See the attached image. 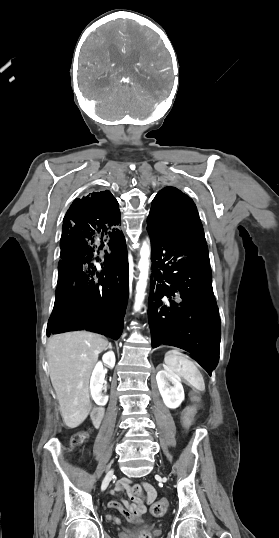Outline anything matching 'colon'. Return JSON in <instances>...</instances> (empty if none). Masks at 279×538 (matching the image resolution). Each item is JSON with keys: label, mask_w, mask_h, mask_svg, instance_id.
Masks as SVG:
<instances>
[{"label": "colon", "mask_w": 279, "mask_h": 538, "mask_svg": "<svg viewBox=\"0 0 279 538\" xmlns=\"http://www.w3.org/2000/svg\"><path fill=\"white\" fill-rule=\"evenodd\" d=\"M191 423H192V420H191L190 417H188L185 420L186 427L190 428ZM85 439H86V434L85 433H83V432L77 433L72 437L71 444L73 446L80 445L85 441ZM140 491H141V489H140L139 486H135L133 488V492H134L135 495H139ZM167 510H168V502L164 498L159 499L158 501H156L151 507V512L156 517H161V516L165 515Z\"/></svg>", "instance_id": "colon-1"}]
</instances>
